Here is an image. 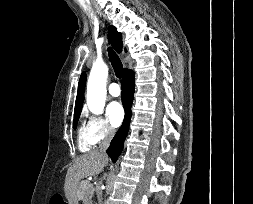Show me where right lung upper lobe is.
<instances>
[{
	"mask_svg": "<svg viewBox=\"0 0 253 204\" xmlns=\"http://www.w3.org/2000/svg\"><path fill=\"white\" fill-rule=\"evenodd\" d=\"M108 39L111 45L114 47V49L117 52L122 51V35L117 31V29L114 26H110L108 30ZM128 70L127 68L124 69V72ZM85 83H86V74L83 72L81 74L79 84H78V93L76 97V103H75V110H74V116L80 115L84 100V90H85Z\"/></svg>",
	"mask_w": 253,
	"mask_h": 204,
	"instance_id": "1",
	"label": "right lung upper lobe"
}]
</instances>
